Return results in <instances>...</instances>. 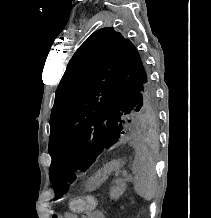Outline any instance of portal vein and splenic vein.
Returning <instances> with one entry per match:
<instances>
[{"instance_id":"1","label":"portal vein and splenic vein","mask_w":211,"mask_h":218,"mask_svg":"<svg viewBox=\"0 0 211 218\" xmlns=\"http://www.w3.org/2000/svg\"><path fill=\"white\" fill-rule=\"evenodd\" d=\"M123 178H127V172H122Z\"/></svg>"}]
</instances>
